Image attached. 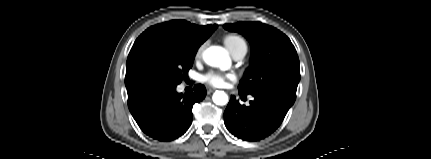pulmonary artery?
Listing matches in <instances>:
<instances>
[{
    "instance_id": "pulmonary-artery-1",
    "label": "pulmonary artery",
    "mask_w": 431,
    "mask_h": 159,
    "mask_svg": "<svg viewBox=\"0 0 431 159\" xmlns=\"http://www.w3.org/2000/svg\"><path fill=\"white\" fill-rule=\"evenodd\" d=\"M246 52H247V48L246 47H240V48H238L237 50H235L233 53H232V57L235 59V60H241V59H243L244 58V56L246 55Z\"/></svg>"
}]
</instances>
